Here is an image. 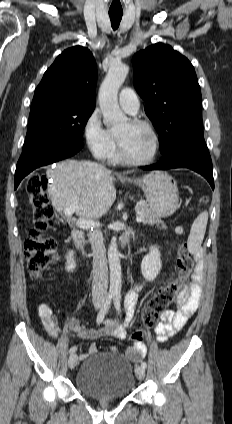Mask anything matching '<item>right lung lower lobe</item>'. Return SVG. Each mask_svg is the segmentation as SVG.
<instances>
[{"label":"right lung lower lobe","mask_w":232,"mask_h":424,"mask_svg":"<svg viewBox=\"0 0 232 424\" xmlns=\"http://www.w3.org/2000/svg\"><path fill=\"white\" fill-rule=\"evenodd\" d=\"M83 147L81 141L37 139L24 146L15 172V189L21 180L34 169L68 158Z\"/></svg>","instance_id":"right-lung-lower-lobe-1"}]
</instances>
